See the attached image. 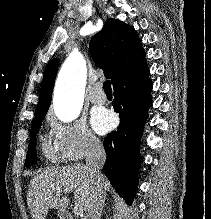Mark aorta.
I'll return each mask as SVG.
<instances>
[{
	"label": "aorta",
	"mask_w": 211,
	"mask_h": 219,
	"mask_svg": "<svg viewBox=\"0 0 211 219\" xmlns=\"http://www.w3.org/2000/svg\"><path fill=\"white\" fill-rule=\"evenodd\" d=\"M86 84V64L78 53H72L63 64L56 82L54 108L65 122L76 119L81 111Z\"/></svg>",
	"instance_id": "1"
}]
</instances>
